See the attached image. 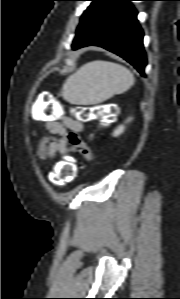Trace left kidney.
I'll return each instance as SVG.
<instances>
[{
    "instance_id": "1",
    "label": "left kidney",
    "mask_w": 180,
    "mask_h": 299,
    "mask_svg": "<svg viewBox=\"0 0 180 299\" xmlns=\"http://www.w3.org/2000/svg\"><path fill=\"white\" fill-rule=\"evenodd\" d=\"M132 120V118H129L128 120H127V122H129V121H131ZM124 129H125V127H124V125H120L114 132H113V136H119L120 134H122L123 132H124Z\"/></svg>"
}]
</instances>
